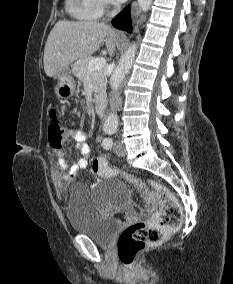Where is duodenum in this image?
I'll use <instances>...</instances> for the list:
<instances>
[{"mask_svg": "<svg viewBox=\"0 0 233 284\" xmlns=\"http://www.w3.org/2000/svg\"><path fill=\"white\" fill-rule=\"evenodd\" d=\"M106 108V104L104 102H100L96 105L95 110L97 115L102 116Z\"/></svg>", "mask_w": 233, "mask_h": 284, "instance_id": "obj_1", "label": "duodenum"}]
</instances>
